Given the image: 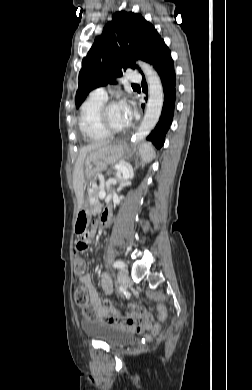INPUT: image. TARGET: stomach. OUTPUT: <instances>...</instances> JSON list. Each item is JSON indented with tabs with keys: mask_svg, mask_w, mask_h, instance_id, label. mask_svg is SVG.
<instances>
[{
	"mask_svg": "<svg viewBox=\"0 0 252 390\" xmlns=\"http://www.w3.org/2000/svg\"><path fill=\"white\" fill-rule=\"evenodd\" d=\"M123 151L121 145H108L106 147L93 150L86 156L83 170L87 180L93 178L97 173L106 169L108 164L114 163ZM92 206L87 200L82 201L74 221V231L76 233L83 232L91 221Z\"/></svg>",
	"mask_w": 252,
	"mask_h": 390,
	"instance_id": "obj_1",
	"label": "stomach"
}]
</instances>
